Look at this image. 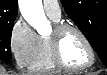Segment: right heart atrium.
Returning <instances> with one entry per match:
<instances>
[{"label":"right heart atrium","mask_w":107,"mask_h":75,"mask_svg":"<svg viewBox=\"0 0 107 75\" xmlns=\"http://www.w3.org/2000/svg\"><path fill=\"white\" fill-rule=\"evenodd\" d=\"M39 36L22 18L13 25L10 33V50L19 67H28L38 48Z\"/></svg>","instance_id":"1"}]
</instances>
